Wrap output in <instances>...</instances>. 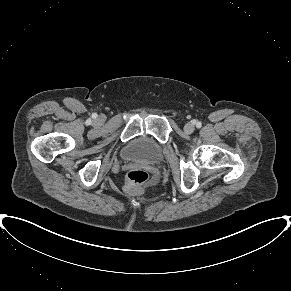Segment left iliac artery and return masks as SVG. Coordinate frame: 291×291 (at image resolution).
<instances>
[{"label":"left iliac artery","instance_id":"obj_1","mask_svg":"<svg viewBox=\"0 0 291 291\" xmlns=\"http://www.w3.org/2000/svg\"><path fill=\"white\" fill-rule=\"evenodd\" d=\"M196 127L200 128L201 127V122H196Z\"/></svg>","mask_w":291,"mask_h":291}]
</instances>
